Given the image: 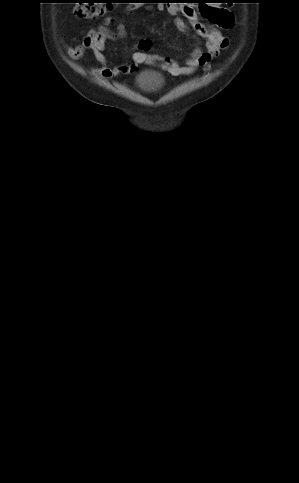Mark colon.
<instances>
[{"label":"colon","mask_w":299,"mask_h":483,"mask_svg":"<svg viewBox=\"0 0 299 483\" xmlns=\"http://www.w3.org/2000/svg\"><path fill=\"white\" fill-rule=\"evenodd\" d=\"M77 6L74 9V14L78 18L82 19H96L103 16L112 5L111 0H80L77 2ZM210 4H202L201 7H205Z\"/></svg>","instance_id":"1"}]
</instances>
